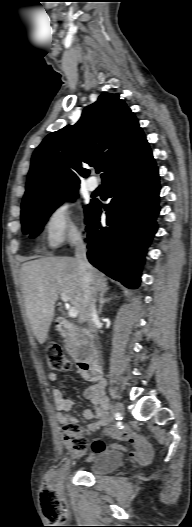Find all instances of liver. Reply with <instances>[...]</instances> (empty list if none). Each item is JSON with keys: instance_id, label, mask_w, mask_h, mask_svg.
<instances>
[{"instance_id": "1", "label": "liver", "mask_w": 192, "mask_h": 527, "mask_svg": "<svg viewBox=\"0 0 192 527\" xmlns=\"http://www.w3.org/2000/svg\"><path fill=\"white\" fill-rule=\"evenodd\" d=\"M92 273L95 297L98 292L108 290V283L97 269L92 268ZM20 275L26 314L40 344L47 339L59 294L64 293L77 309L79 323L88 320V308L75 258L48 256L27 261L22 264Z\"/></svg>"}]
</instances>
